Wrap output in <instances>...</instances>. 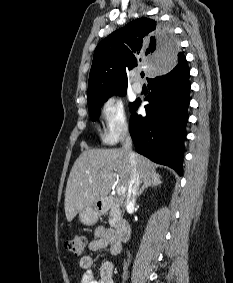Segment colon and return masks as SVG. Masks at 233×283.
I'll use <instances>...</instances> for the list:
<instances>
[{"mask_svg": "<svg viewBox=\"0 0 233 283\" xmlns=\"http://www.w3.org/2000/svg\"><path fill=\"white\" fill-rule=\"evenodd\" d=\"M87 239L83 235H77L66 242V249L76 256L84 253Z\"/></svg>", "mask_w": 233, "mask_h": 283, "instance_id": "obj_1", "label": "colon"}]
</instances>
